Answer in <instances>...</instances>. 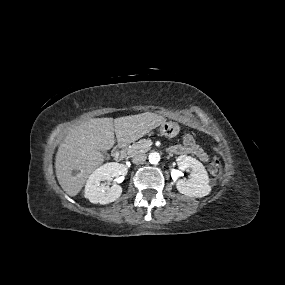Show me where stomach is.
I'll list each match as a JSON object with an SVG mask.
<instances>
[{
    "label": "stomach",
    "instance_id": "1",
    "mask_svg": "<svg viewBox=\"0 0 285 285\" xmlns=\"http://www.w3.org/2000/svg\"><path fill=\"white\" fill-rule=\"evenodd\" d=\"M179 125L176 122H164L160 126V132L167 137H174L179 132Z\"/></svg>",
    "mask_w": 285,
    "mask_h": 285
}]
</instances>
